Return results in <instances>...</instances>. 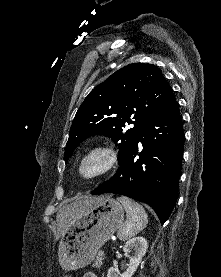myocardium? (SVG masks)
<instances>
[{"instance_id": "1", "label": "myocardium", "mask_w": 221, "mask_h": 277, "mask_svg": "<svg viewBox=\"0 0 221 277\" xmlns=\"http://www.w3.org/2000/svg\"><path fill=\"white\" fill-rule=\"evenodd\" d=\"M91 160H97L98 166L91 173H85L83 168ZM117 163V153L110 145H97L89 149L77 164V173L84 180L99 178L111 171Z\"/></svg>"}]
</instances>
